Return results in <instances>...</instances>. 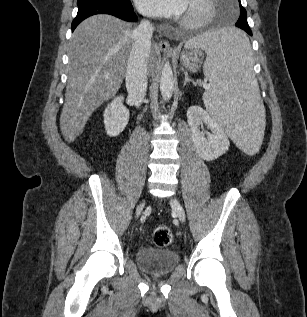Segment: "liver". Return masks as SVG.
Masks as SVG:
<instances>
[{
	"label": "liver",
	"mask_w": 307,
	"mask_h": 317,
	"mask_svg": "<svg viewBox=\"0 0 307 317\" xmlns=\"http://www.w3.org/2000/svg\"><path fill=\"white\" fill-rule=\"evenodd\" d=\"M132 26L110 15H95L75 29L68 49V81L60 116L64 138L79 136L92 113L119 90L134 44ZM158 50L152 48L149 69Z\"/></svg>",
	"instance_id": "obj_1"
}]
</instances>
